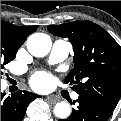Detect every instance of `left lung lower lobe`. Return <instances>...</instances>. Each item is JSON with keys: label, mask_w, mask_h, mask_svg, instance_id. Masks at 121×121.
Segmentation results:
<instances>
[{"label": "left lung lower lobe", "mask_w": 121, "mask_h": 121, "mask_svg": "<svg viewBox=\"0 0 121 121\" xmlns=\"http://www.w3.org/2000/svg\"><path fill=\"white\" fill-rule=\"evenodd\" d=\"M74 102H77L78 106L76 109H73L70 117L59 121H107L114 111L101 102L87 96L79 95V98Z\"/></svg>", "instance_id": "obj_1"}]
</instances>
